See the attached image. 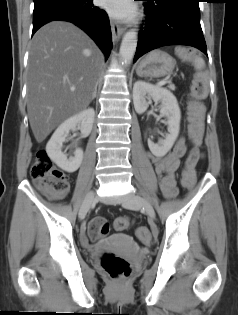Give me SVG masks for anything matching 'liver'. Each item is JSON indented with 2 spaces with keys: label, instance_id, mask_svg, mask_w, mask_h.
<instances>
[{
  "label": "liver",
  "instance_id": "liver-1",
  "mask_svg": "<svg viewBox=\"0 0 238 315\" xmlns=\"http://www.w3.org/2000/svg\"><path fill=\"white\" fill-rule=\"evenodd\" d=\"M102 62L101 51L72 23L53 21L36 32L27 67V111L38 143L88 107Z\"/></svg>",
  "mask_w": 238,
  "mask_h": 315
}]
</instances>
